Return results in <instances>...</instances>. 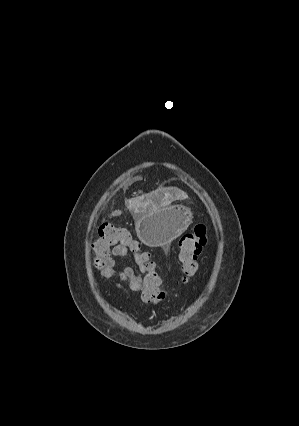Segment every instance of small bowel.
<instances>
[{
    "label": "small bowel",
    "mask_w": 299,
    "mask_h": 426,
    "mask_svg": "<svg viewBox=\"0 0 299 426\" xmlns=\"http://www.w3.org/2000/svg\"><path fill=\"white\" fill-rule=\"evenodd\" d=\"M129 254L133 255L137 269L119 262L120 259L127 257ZM145 271L146 267L142 263L140 255L121 246L113 248L109 256L99 267L100 275L103 278L110 281L114 278L119 280L118 282H113V285L125 295H128L129 291L140 294Z\"/></svg>",
    "instance_id": "obj_1"
}]
</instances>
